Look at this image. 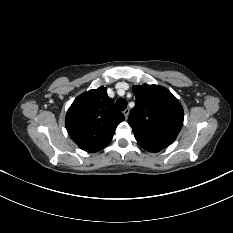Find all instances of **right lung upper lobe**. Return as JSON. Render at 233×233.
I'll return each mask as SVG.
<instances>
[{"mask_svg": "<svg viewBox=\"0 0 233 233\" xmlns=\"http://www.w3.org/2000/svg\"><path fill=\"white\" fill-rule=\"evenodd\" d=\"M124 120L104 87L78 96L65 119L66 129L73 141L86 152H97L112 140L116 127Z\"/></svg>", "mask_w": 233, "mask_h": 233, "instance_id": "1", "label": "right lung upper lobe"}]
</instances>
